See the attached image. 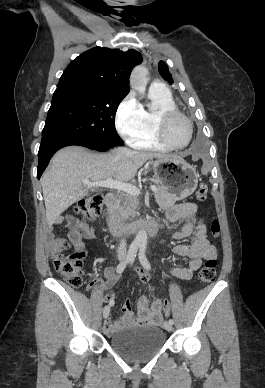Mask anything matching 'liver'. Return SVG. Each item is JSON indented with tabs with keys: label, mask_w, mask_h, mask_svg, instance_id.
Segmentation results:
<instances>
[{
	"label": "liver",
	"mask_w": 265,
	"mask_h": 388,
	"mask_svg": "<svg viewBox=\"0 0 265 388\" xmlns=\"http://www.w3.org/2000/svg\"><path fill=\"white\" fill-rule=\"evenodd\" d=\"M150 158L181 156L138 152L128 148H117L111 150L110 154H90L81 146L59 150L41 178L48 228H52L55 220L69 206L88 196L89 188L84 186L82 180L87 178L91 182H101L115 178L116 182H128Z\"/></svg>",
	"instance_id": "1"
}]
</instances>
